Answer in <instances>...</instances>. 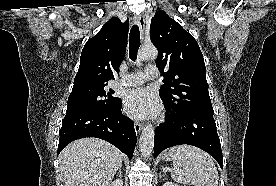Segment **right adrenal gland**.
I'll return each instance as SVG.
<instances>
[{
  "label": "right adrenal gland",
  "instance_id": "2a0ac1e0",
  "mask_svg": "<svg viewBox=\"0 0 276 186\" xmlns=\"http://www.w3.org/2000/svg\"><path fill=\"white\" fill-rule=\"evenodd\" d=\"M118 174L120 175V177H122V166H120L117 175H118Z\"/></svg>",
  "mask_w": 276,
  "mask_h": 186
}]
</instances>
